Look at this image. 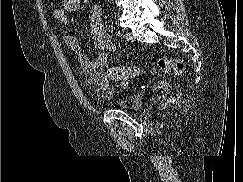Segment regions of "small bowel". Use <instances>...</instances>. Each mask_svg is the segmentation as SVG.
<instances>
[{"instance_id": "1", "label": "small bowel", "mask_w": 243, "mask_h": 182, "mask_svg": "<svg viewBox=\"0 0 243 182\" xmlns=\"http://www.w3.org/2000/svg\"><path fill=\"white\" fill-rule=\"evenodd\" d=\"M79 5L80 0H62V6L53 11L54 20L62 26L69 25L70 18L68 14L76 11L79 8ZM89 24L97 51L94 60L89 59L75 35L66 33L63 35V40L66 46L75 53L80 71L83 75L87 76L88 82L97 86L100 90H107L108 80L101 71L107 63L108 55L115 51V44L106 32L99 7L94 6L91 9L89 14Z\"/></svg>"}]
</instances>
